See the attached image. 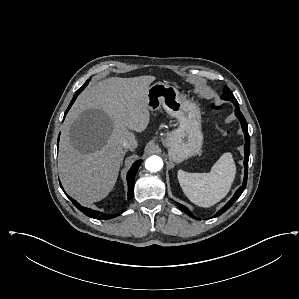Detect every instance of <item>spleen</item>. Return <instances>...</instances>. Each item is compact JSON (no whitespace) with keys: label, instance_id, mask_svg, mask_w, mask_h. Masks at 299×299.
I'll return each instance as SVG.
<instances>
[{"label":"spleen","instance_id":"3e777b00","mask_svg":"<svg viewBox=\"0 0 299 299\" xmlns=\"http://www.w3.org/2000/svg\"><path fill=\"white\" fill-rule=\"evenodd\" d=\"M236 175L231 153H224L208 173L178 171L180 186L191 202L210 207L222 200L230 191Z\"/></svg>","mask_w":299,"mask_h":299}]
</instances>
